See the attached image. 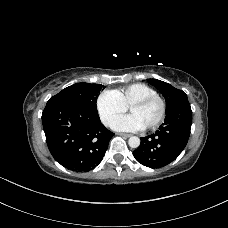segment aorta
<instances>
[{
    "label": "aorta",
    "mask_w": 228,
    "mask_h": 228,
    "mask_svg": "<svg viewBox=\"0 0 228 228\" xmlns=\"http://www.w3.org/2000/svg\"><path fill=\"white\" fill-rule=\"evenodd\" d=\"M128 144L131 148H138L140 145V138L137 136H132L129 138Z\"/></svg>",
    "instance_id": "762f6f07"
}]
</instances>
